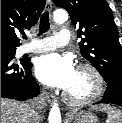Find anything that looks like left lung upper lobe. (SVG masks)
Segmentation results:
<instances>
[{
    "label": "left lung upper lobe",
    "instance_id": "1",
    "mask_svg": "<svg viewBox=\"0 0 122 123\" xmlns=\"http://www.w3.org/2000/svg\"><path fill=\"white\" fill-rule=\"evenodd\" d=\"M67 10L81 38V55L106 80L122 76V48L113 13L106 0H53Z\"/></svg>",
    "mask_w": 122,
    "mask_h": 123
}]
</instances>
